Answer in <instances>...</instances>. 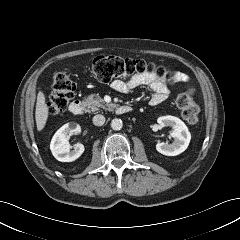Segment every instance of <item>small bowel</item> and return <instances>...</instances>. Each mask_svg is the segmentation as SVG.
Returning a JSON list of instances; mask_svg holds the SVG:
<instances>
[{"label":"small bowel","mask_w":240,"mask_h":240,"mask_svg":"<svg viewBox=\"0 0 240 240\" xmlns=\"http://www.w3.org/2000/svg\"><path fill=\"white\" fill-rule=\"evenodd\" d=\"M175 80L178 82H187L189 80V76L182 71H176ZM138 87H146L153 92L149 101V104L152 106L162 103L170 94L165 79L155 74L136 75L127 81L115 80L111 83V88L121 93H129Z\"/></svg>","instance_id":"obj_1"}]
</instances>
